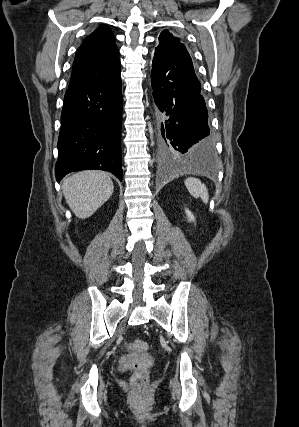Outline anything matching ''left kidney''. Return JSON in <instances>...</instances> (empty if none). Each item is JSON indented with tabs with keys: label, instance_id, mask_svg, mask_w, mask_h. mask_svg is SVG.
I'll use <instances>...</instances> for the list:
<instances>
[{
	"label": "left kidney",
	"instance_id": "1",
	"mask_svg": "<svg viewBox=\"0 0 299 427\" xmlns=\"http://www.w3.org/2000/svg\"><path fill=\"white\" fill-rule=\"evenodd\" d=\"M185 212H186V214H187V217H188V220L191 222H194L195 221V218H194V216H193V214H192V212L191 211H189L188 209H186L185 210Z\"/></svg>",
	"mask_w": 299,
	"mask_h": 427
}]
</instances>
